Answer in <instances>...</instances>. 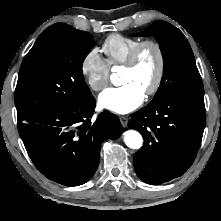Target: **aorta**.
Returning <instances> with one entry per match:
<instances>
[{
	"mask_svg": "<svg viewBox=\"0 0 221 221\" xmlns=\"http://www.w3.org/2000/svg\"><path fill=\"white\" fill-rule=\"evenodd\" d=\"M117 80H118V75L116 73H113L111 75L112 83L116 84ZM124 142L129 148L139 149L143 144V138L139 132L135 130H128L124 133Z\"/></svg>",
	"mask_w": 221,
	"mask_h": 221,
	"instance_id": "aorta-1",
	"label": "aorta"
}]
</instances>
